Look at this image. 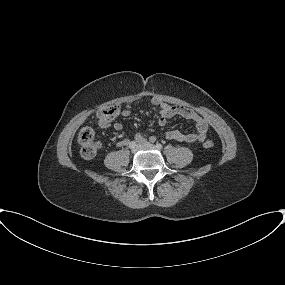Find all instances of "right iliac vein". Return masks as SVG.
I'll return each instance as SVG.
<instances>
[{
	"mask_svg": "<svg viewBox=\"0 0 285 285\" xmlns=\"http://www.w3.org/2000/svg\"><path fill=\"white\" fill-rule=\"evenodd\" d=\"M140 145H136L134 148H132V152L136 153L140 149Z\"/></svg>",
	"mask_w": 285,
	"mask_h": 285,
	"instance_id": "right-iliac-vein-1",
	"label": "right iliac vein"
}]
</instances>
